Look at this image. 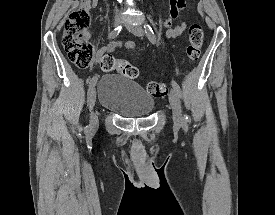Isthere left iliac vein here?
Listing matches in <instances>:
<instances>
[{"mask_svg":"<svg viewBox=\"0 0 275 215\" xmlns=\"http://www.w3.org/2000/svg\"><path fill=\"white\" fill-rule=\"evenodd\" d=\"M127 28L132 34L136 36L144 35V31L140 26H133L129 24L127 25ZM169 102L172 108V118H173L174 125L175 127L180 128L183 123L182 110H181L178 94L174 89H172L169 94Z\"/></svg>","mask_w":275,"mask_h":215,"instance_id":"4c4485c4","label":"left iliac vein"}]
</instances>
